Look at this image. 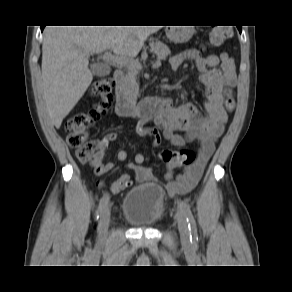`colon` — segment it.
Here are the masks:
<instances>
[{
  "mask_svg": "<svg viewBox=\"0 0 292 292\" xmlns=\"http://www.w3.org/2000/svg\"><path fill=\"white\" fill-rule=\"evenodd\" d=\"M232 35V28L228 25H222L214 28L210 34V44L219 46L223 44ZM91 94L98 98V101L88 112L78 113L65 122V132L67 133L68 144L76 149V155L80 162L86 163L92 160L96 146L93 141L87 139L88 129L101 116L105 115L113 102V85L109 78H101L91 87ZM225 106L228 111L235 107V101L230 93L227 92ZM160 157L166 163H174L180 166L191 165L195 161V153L190 149L179 151L164 150ZM129 178L125 179L127 185Z\"/></svg>",
  "mask_w": 292,
  "mask_h": 292,
  "instance_id": "colon-1",
  "label": "colon"
}]
</instances>
